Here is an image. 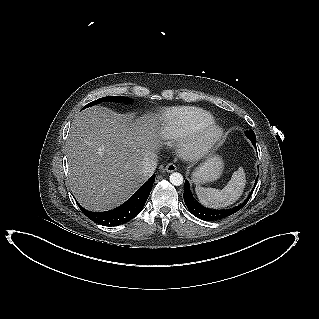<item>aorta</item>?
Instances as JSON below:
<instances>
[{"label": "aorta", "mask_w": 319, "mask_h": 319, "mask_svg": "<svg viewBox=\"0 0 319 319\" xmlns=\"http://www.w3.org/2000/svg\"><path fill=\"white\" fill-rule=\"evenodd\" d=\"M170 182L175 186H180L183 184V176L178 173L174 172L169 176Z\"/></svg>", "instance_id": "762f6f07"}]
</instances>
